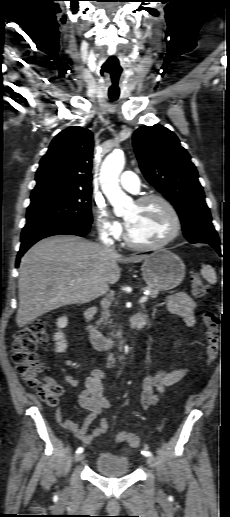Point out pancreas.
I'll use <instances>...</instances> for the list:
<instances>
[{"label":"pancreas","mask_w":230,"mask_h":517,"mask_svg":"<svg viewBox=\"0 0 230 517\" xmlns=\"http://www.w3.org/2000/svg\"><path fill=\"white\" fill-rule=\"evenodd\" d=\"M142 290L143 291H149V296L151 298H157L158 297L159 291L157 289H153V288H150V287H143ZM109 317H110L109 305L108 304L103 305V311H102L101 317H100V319L98 320L97 323L98 324L110 323L111 321L109 320Z\"/></svg>","instance_id":"pancreas-1"}]
</instances>
